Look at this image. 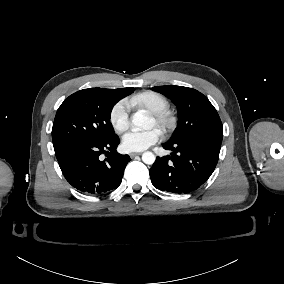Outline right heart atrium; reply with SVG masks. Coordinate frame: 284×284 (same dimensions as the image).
I'll list each match as a JSON object with an SVG mask.
<instances>
[{"label":"right heart atrium","mask_w":284,"mask_h":284,"mask_svg":"<svg viewBox=\"0 0 284 284\" xmlns=\"http://www.w3.org/2000/svg\"><path fill=\"white\" fill-rule=\"evenodd\" d=\"M130 108L131 101L127 98L119 100L112 107L109 122L115 131L121 132L128 126Z\"/></svg>","instance_id":"1"}]
</instances>
